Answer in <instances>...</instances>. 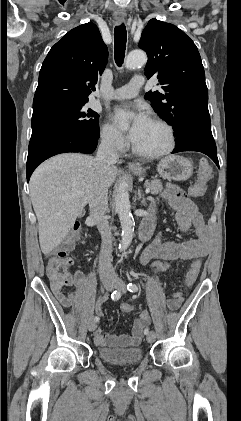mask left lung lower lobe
Wrapping results in <instances>:
<instances>
[{
    "label": "left lung lower lobe",
    "mask_w": 241,
    "mask_h": 421,
    "mask_svg": "<svg viewBox=\"0 0 241 421\" xmlns=\"http://www.w3.org/2000/svg\"><path fill=\"white\" fill-rule=\"evenodd\" d=\"M177 146L173 153L182 151H198L208 155L219 167L216 144L211 132L210 121L197 123L189 133L176 141Z\"/></svg>",
    "instance_id": "0a47b994"
}]
</instances>
